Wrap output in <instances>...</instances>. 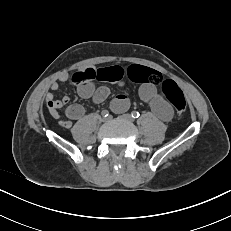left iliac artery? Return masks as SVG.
I'll return each instance as SVG.
<instances>
[{"label":"left iliac artery","mask_w":231,"mask_h":231,"mask_svg":"<svg viewBox=\"0 0 231 231\" xmlns=\"http://www.w3.org/2000/svg\"><path fill=\"white\" fill-rule=\"evenodd\" d=\"M131 115H132L133 118H138L140 116L139 112H137V111H133L131 113Z\"/></svg>","instance_id":"left-iliac-artery-1"}]
</instances>
